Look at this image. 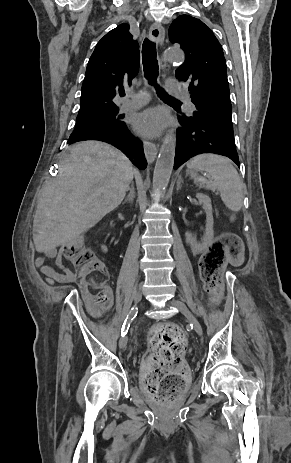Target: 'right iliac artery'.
Returning <instances> with one entry per match:
<instances>
[{"instance_id": "obj_1", "label": "right iliac artery", "mask_w": 291, "mask_h": 463, "mask_svg": "<svg viewBox=\"0 0 291 463\" xmlns=\"http://www.w3.org/2000/svg\"><path fill=\"white\" fill-rule=\"evenodd\" d=\"M136 315H137V307H132L129 314L127 315L123 325H122V329H121V336L122 337L127 334L130 323L136 317Z\"/></svg>"}]
</instances>
